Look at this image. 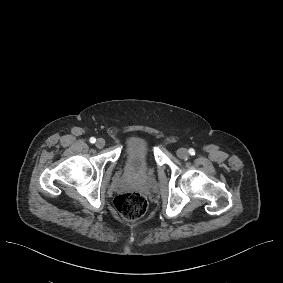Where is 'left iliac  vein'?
<instances>
[{
    "label": "left iliac vein",
    "mask_w": 283,
    "mask_h": 283,
    "mask_svg": "<svg viewBox=\"0 0 283 283\" xmlns=\"http://www.w3.org/2000/svg\"><path fill=\"white\" fill-rule=\"evenodd\" d=\"M177 155L181 159H187L189 157V152L186 148H179L177 151Z\"/></svg>",
    "instance_id": "1"
}]
</instances>
